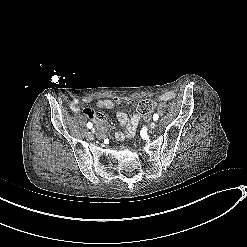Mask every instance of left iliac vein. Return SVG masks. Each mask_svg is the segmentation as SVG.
I'll return each instance as SVG.
<instances>
[{
    "instance_id": "left-iliac-vein-1",
    "label": "left iliac vein",
    "mask_w": 247,
    "mask_h": 247,
    "mask_svg": "<svg viewBox=\"0 0 247 247\" xmlns=\"http://www.w3.org/2000/svg\"><path fill=\"white\" fill-rule=\"evenodd\" d=\"M155 126H156L155 122H151L149 129L153 130L155 128Z\"/></svg>"
}]
</instances>
